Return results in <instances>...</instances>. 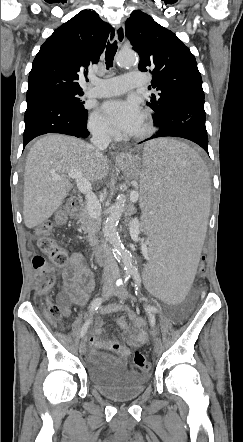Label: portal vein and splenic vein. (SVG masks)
<instances>
[{
  "instance_id": "18ae733b",
  "label": "portal vein and splenic vein",
  "mask_w": 243,
  "mask_h": 442,
  "mask_svg": "<svg viewBox=\"0 0 243 442\" xmlns=\"http://www.w3.org/2000/svg\"><path fill=\"white\" fill-rule=\"evenodd\" d=\"M68 177L75 179L79 191L85 194L87 200V209L90 216H92L93 218L98 217L100 215L101 205L99 204L96 197L92 193L91 183L86 178L83 177L82 172L79 170H70L68 172ZM60 178H61L60 176L53 177V179L55 180H58ZM130 196L135 201H137L139 194L136 191H132Z\"/></svg>"
}]
</instances>
